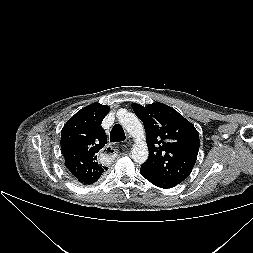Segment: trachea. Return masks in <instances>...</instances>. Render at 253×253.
<instances>
[{
	"instance_id": "trachea-1",
	"label": "trachea",
	"mask_w": 253,
	"mask_h": 253,
	"mask_svg": "<svg viewBox=\"0 0 253 253\" xmlns=\"http://www.w3.org/2000/svg\"><path fill=\"white\" fill-rule=\"evenodd\" d=\"M126 139L125 133L121 125H115L110 132L111 142H121Z\"/></svg>"
}]
</instances>
